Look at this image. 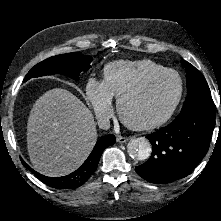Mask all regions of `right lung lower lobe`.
<instances>
[{
    "mask_svg": "<svg viewBox=\"0 0 221 221\" xmlns=\"http://www.w3.org/2000/svg\"><path fill=\"white\" fill-rule=\"evenodd\" d=\"M115 142L116 138L113 134L102 137L97 141L86 161L76 171L63 177H47L34 171L25 162H23V165L29 168L43 183L52 188L75 189L83 185L93 175L97 169L103 150L108 146L113 145Z\"/></svg>",
    "mask_w": 221,
    "mask_h": 221,
    "instance_id": "1",
    "label": "right lung lower lobe"
}]
</instances>
